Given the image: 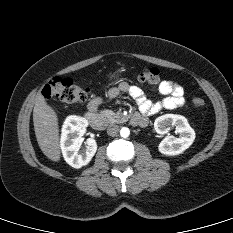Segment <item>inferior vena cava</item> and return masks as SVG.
I'll use <instances>...</instances> for the list:
<instances>
[{
    "instance_id": "1",
    "label": "inferior vena cava",
    "mask_w": 233,
    "mask_h": 233,
    "mask_svg": "<svg viewBox=\"0 0 233 233\" xmlns=\"http://www.w3.org/2000/svg\"><path fill=\"white\" fill-rule=\"evenodd\" d=\"M119 126L116 125V124H110L107 128V133L110 135V136H115L118 134L119 132Z\"/></svg>"
}]
</instances>
